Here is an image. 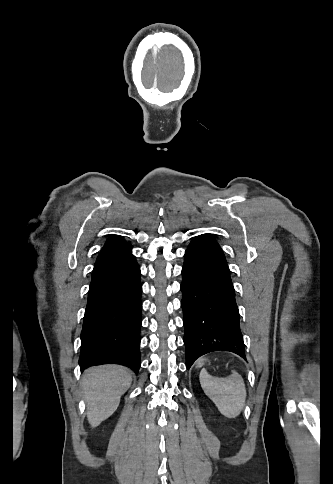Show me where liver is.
Returning <instances> with one entry per match:
<instances>
[{"label": "liver", "instance_id": "1", "mask_svg": "<svg viewBox=\"0 0 333 484\" xmlns=\"http://www.w3.org/2000/svg\"><path fill=\"white\" fill-rule=\"evenodd\" d=\"M132 382L131 374L118 365L91 367L83 376L82 387L87 403V419L98 426L117 409L120 397Z\"/></svg>", "mask_w": 333, "mask_h": 484}]
</instances>
